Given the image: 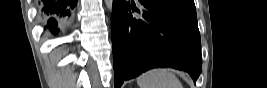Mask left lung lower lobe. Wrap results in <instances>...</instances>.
<instances>
[{
  "label": "left lung lower lobe",
  "mask_w": 267,
  "mask_h": 88,
  "mask_svg": "<svg viewBox=\"0 0 267 88\" xmlns=\"http://www.w3.org/2000/svg\"><path fill=\"white\" fill-rule=\"evenodd\" d=\"M113 0L112 46L115 88L155 67L200 75L201 41L196 12L154 0ZM132 11L140 13L135 17Z\"/></svg>",
  "instance_id": "0a47b994"
}]
</instances>
